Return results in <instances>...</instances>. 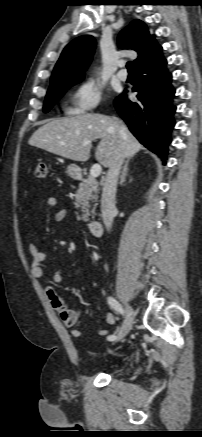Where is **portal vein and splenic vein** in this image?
Here are the masks:
<instances>
[{"instance_id": "obj_1", "label": "portal vein and splenic vein", "mask_w": 202, "mask_h": 437, "mask_svg": "<svg viewBox=\"0 0 202 437\" xmlns=\"http://www.w3.org/2000/svg\"><path fill=\"white\" fill-rule=\"evenodd\" d=\"M88 142H86L87 144ZM102 172V167L100 164H94L91 169H90V177L91 178H97L98 176H100Z\"/></svg>"}]
</instances>
